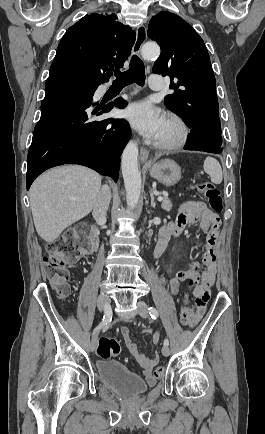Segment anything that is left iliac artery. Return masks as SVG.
<instances>
[{
	"label": "left iliac artery",
	"instance_id": "44dca946",
	"mask_svg": "<svg viewBox=\"0 0 265 434\" xmlns=\"http://www.w3.org/2000/svg\"><path fill=\"white\" fill-rule=\"evenodd\" d=\"M148 310H149V314H150L151 318H152V319H157V317H158V311L156 310V308H154V307H149ZM164 345H165V346H168V345H169V341H168V339H165V340H164Z\"/></svg>",
	"mask_w": 265,
	"mask_h": 434
}]
</instances>
